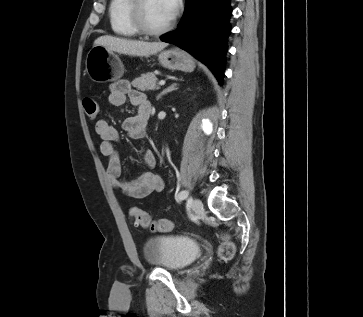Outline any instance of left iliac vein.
Here are the masks:
<instances>
[{"label": "left iliac vein", "mask_w": 363, "mask_h": 317, "mask_svg": "<svg viewBox=\"0 0 363 317\" xmlns=\"http://www.w3.org/2000/svg\"><path fill=\"white\" fill-rule=\"evenodd\" d=\"M190 202H191V208L193 210V212L196 214V215H199L202 213L203 211V204H202V201L200 199H190Z\"/></svg>", "instance_id": "obj_1"}]
</instances>
